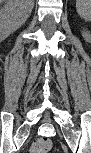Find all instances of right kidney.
I'll list each match as a JSON object with an SVG mask.
<instances>
[{"label": "right kidney", "instance_id": "obj_1", "mask_svg": "<svg viewBox=\"0 0 91 153\" xmlns=\"http://www.w3.org/2000/svg\"><path fill=\"white\" fill-rule=\"evenodd\" d=\"M25 0H7L0 10V38L6 39L21 27L31 14L32 7Z\"/></svg>", "mask_w": 91, "mask_h": 153}]
</instances>
